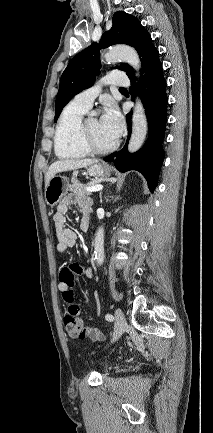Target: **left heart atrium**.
Wrapping results in <instances>:
<instances>
[{
    "label": "left heart atrium",
    "mask_w": 213,
    "mask_h": 433,
    "mask_svg": "<svg viewBox=\"0 0 213 433\" xmlns=\"http://www.w3.org/2000/svg\"><path fill=\"white\" fill-rule=\"evenodd\" d=\"M100 123L115 140L119 138L124 128L122 116L114 104L107 105Z\"/></svg>",
    "instance_id": "1"
}]
</instances>
